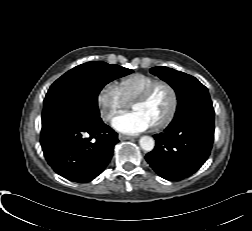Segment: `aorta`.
<instances>
[{
	"label": "aorta",
	"instance_id": "762f6f07",
	"mask_svg": "<svg viewBox=\"0 0 252 231\" xmlns=\"http://www.w3.org/2000/svg\"><path fill=\"white\" fill-rule=\"evenodd\" d=\"M140 147L147 152H150L154 149L155 141L150 136H142L139 140Z\"/></svg>",
	"mask_w": 252,
	"mask_h": 231
}]
</instances>
